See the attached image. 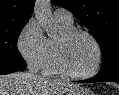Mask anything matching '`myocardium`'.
<instances>
[{"label": "myocardium", "instance_id": "1", "mask_svg": "<svg viewBox=\"0 0 119 95\" xmlns=\"http://www.w3.org/2000/svg\"><path fill=\"white\" fill-rule=\"evenodd\" d=\"M77 35L88 37L93 42L97 52V59L93 69L86 73H76L72 71L65 61V45ZM55 60L57 68L62 74L75 79H88L94 77L100 71L103 62V50L97 38L89 31L80 28H71L64 31L61 37L56 41Z\"/></svg>", "mask_w": 119, "mask_h": 95}]
</instances>
